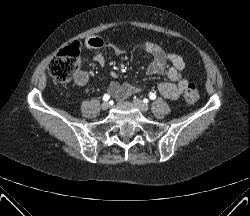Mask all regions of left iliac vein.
Returning a JSON list of instances; mask_svg holds the SVG:
<instances>
[{
	"label": "left iliac vein",
	"mask_w": 250,
	"mask_h": 216,
	"mask_svg": "<svg viewBox=\"0 0 250 216\" xmlns=\"http://www.w3.org/2000/svg\"><path fill=\"white\" fill-rule=\"evenodd\" d=\"M134 105L141 111V112H147L149 109L148 104H146L145 102H143L140 99H134L133 100Z\"/></svg>",
	"instance_id": "obj_1"
}]
</instances>
